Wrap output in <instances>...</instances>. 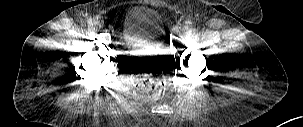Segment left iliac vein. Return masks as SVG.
I'll return each instance as SVG.
<instances>
[{
    "instance_id": "1",
    "label": "left iliac vein",
    "mask_w": 303,
    "mask_h": 127,
    "mask_svg": "<svg viewBox=\"0 0 303 127\" xmlns=\"http://www.w3.org/2000/svg\"><path fill=\"white\" fill-rule=\"evenodd\" d=\"M182 32H183L184 34L188 33V32H189V31H188V28H187V27H184V28L182 29Z\"/></svg>"
}]
</instances>
